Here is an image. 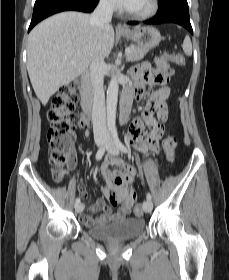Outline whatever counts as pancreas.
<instances>
[{"mask_svg": "<svg viewBox=\"0 0 229 280\" xmlns=\"http://www.w3.org/2000/svg\"><path fill=\"white\" fill-rule=\"evenodd\" d=\"M131 53L129 55H127V60L128 61H139L141 59H143V57L147 54L148 49H143L140 48L136 45H132L131 47Z\"/></svg>", "mask_w": 229, "mask_h": 280, "instance_id": "1", "label": "pancreas"}]
</instances>
